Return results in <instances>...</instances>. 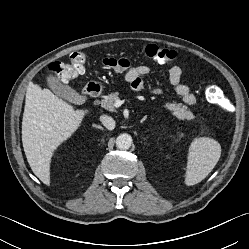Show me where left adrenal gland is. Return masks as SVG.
Returning a JSON list of instances; mask_svg holds the SVG:
<instances>
[{
  "label": "left adrenal gland",
  "instance_id": "left-adrenal-gland-1",
  "mask_svg": "<svg viewBox=\"0 0 249 249\" xmlns=\"http://www.w3.org/2000/svg\"><path fill=\"white\" fill-rule=\"evenodd\" d=\"M147 116H144L141 120V123H143L146 120Z\"/></svg>",
  "mask_w": 249,
  "mask_h": 249
}]
</instances>
